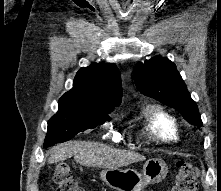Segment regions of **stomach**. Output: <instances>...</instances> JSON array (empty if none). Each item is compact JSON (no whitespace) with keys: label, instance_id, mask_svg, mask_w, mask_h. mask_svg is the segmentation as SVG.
<instances>
[{"label":"stomach","instance_id":"stomach-1","mask_svg":"<svg viewBox=\"0 0 221 191\" xmlns=\"http://www.w3.org/2000/svg\"><path fill=\"white\" fill-rule=\"evenodd\" d=\"M168 173L166 163L161 159H149L143 165L142 173L135 169H105L101 179L117 191H144L149 184L161 182Z\"/></svg>","mask_w":221,"mask_h":191}]
</instances>
